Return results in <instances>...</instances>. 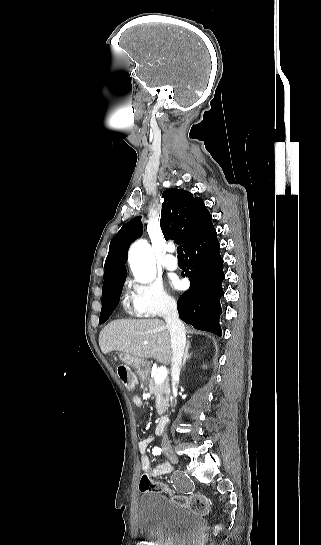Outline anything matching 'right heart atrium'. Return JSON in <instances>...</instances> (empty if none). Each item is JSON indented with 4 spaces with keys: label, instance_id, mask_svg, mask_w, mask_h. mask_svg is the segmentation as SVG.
I'll use <instances>...</instances> for the list:
<instances>
[{
    "label": "right heart atrium",
    "instance_id": "right-heart-atrium-1",
    "mask_svg": "<svg viewBox=\"0 0 321 545\" xmlns=\"http://www.w3.org/2000/svg\"><path fill=\"white\" fill-rule=\"evenodd\" d=\"M126 294L133 314L138 317L159 318L177 306L175 298L163 289L157 277H151L147 282L130 281Z\"/></svg>",
    "mask_w": 321,
    "mask_h": 545
}]
</instances>
